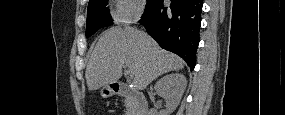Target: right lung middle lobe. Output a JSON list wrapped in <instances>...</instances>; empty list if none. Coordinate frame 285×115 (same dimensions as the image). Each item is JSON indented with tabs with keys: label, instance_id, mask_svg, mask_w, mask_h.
I'll return each instance as SVG.
<instances>
[{
	"label": "right lung middle lobe",
	"instance_id": "1",
	"mask_svg": "<svg viewBox=\"0 0 285 115\" xmlns=\"http://www.w3.org/2000/svg\"><path fill=\"white\" fill-rule=\"evenodd\" d=\"M152 0H147L149 5ZM108 0H90L87 11L86 37H90L100 28L113 24L109 10Z\"/></svg>",
	"mask_w": 285,
	"mask_h": 115
}]
</instances>
